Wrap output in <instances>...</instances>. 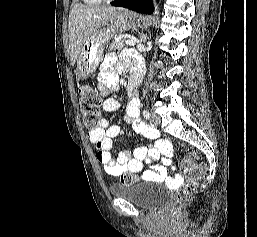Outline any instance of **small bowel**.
Listing matches in <instances>:
<instances>
[{
    "mask_svg": "<svg viewBox=\"0 0 257 237\" xmlns=\"http://www.w3.org/2000/svg\"><path fill=\"white\" fill-rule=\"evenodd\" d=\"M126 62H119L115 53L105 56L98 76V88L104 96L103 108L107 112H115L120 108L118 100L109 97L111 91L118 88L117 75L126 67ZM141 66L135 61L131 69ZM130 69V70H131ZM140 105L137 98L129 100L124 121L130 123L133 129L154 141V146H140L134 149L133 158L127 150H122L116 157L111 154L113 138L123 135L124 132L119 125H110L107 119H102L99 125L88 132L89 140L97 146L96 158L103 165L104 170L113 176L123 173H140L144 164H150L160 160L143 172V178L153 182L167 181L171 186H177L182 181V177L176 173H170L168 167L171 163L172 147L171 143L162 138L159 133L151 127L145 125L139 118Z\"/></svg>",
    "mask_w": 257,
    "mask_h": 237,
    "instance_id": "small-bowel-1",
    "label": "small bowel"
}]
</instances>
